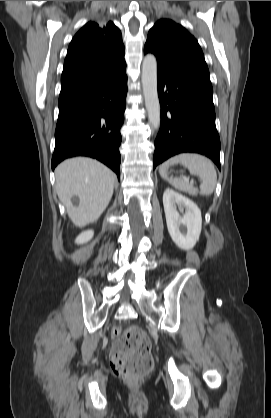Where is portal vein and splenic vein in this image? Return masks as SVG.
Wrapping results in <instances>:
<instances>
[{"label": "portal vein and splenic vein", "instance_id": "1", "mask_svg": "<svg viewBox=\"0 0 271 418\" xmlns=\"http://www.w3.org/2000/svg\"><path fill=\"white\" fill-rule=\"evenodd\" d=\"M184 180L187 182V183H189L190 182V184H192L194 181L193 180H190L189 181V179L188 178H184Z\"/></svg>", "mask_w": 271, "mask_h": 418}]
</instances>
